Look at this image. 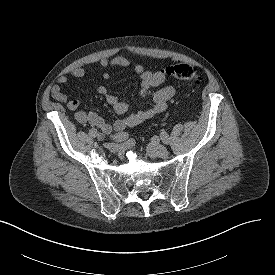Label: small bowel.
I'll list each match as a JSON object with an SVG mask.
<instances>
[{"mask_svg":"<svg viewBox=\"0 0 275 275\" xmlns=\"http://www.w3.org/2000/svg\"><path fill=\"white\" fill-rule=\"evenodd\" d=\"M130 64L131 61L128 58L121 56L113 59L101 58L98 62L100 69L128 67ZM133 70L140 78V96L143 99L151 100L152 105L142 110L131 112L126 101L110 93L105 86H98L96 91L104 96L107 103L112 106L114 113L121 116L112 125L95 112L80 109V103L77 99L68 98L61 88V85L68 82L66 75L58 77L57 84L51 88V95L55 100L65 103L69 110L76 111L75 119L79 123L97 127L105 135L111 134L112 131L122 132L127 128L134 127L162 114L167 109L168 102L176 95V87L170 83L158 90H153L166 82V76L162 70H148L142 64H136ZM69 73L73 77L81 78L87 74V70L82 67H76L71 69ZM102 77L106 81L111 78L108 72H103Z\"/></svg>","mask_w":275,"mask_h":275,"instance_id":"c3829d8e","label":"small bowel"}]
</instances>
